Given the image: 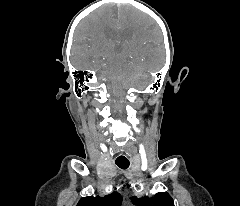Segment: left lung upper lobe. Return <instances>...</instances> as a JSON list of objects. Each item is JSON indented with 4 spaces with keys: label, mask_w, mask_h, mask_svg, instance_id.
<instances>
[{
    "label": "left lung upper lobe",
    "mask_w": 240,
    "mask_h": 206,
    "mask_svg": "<svg viewBox=\"0 0 240 206\" xmlns=\"http://www.w3.org/2000/svg\"><path fill=\"white\" fill-rule=\"evenodd\" d=\"M132 203L137 206H174L173 199L166 192H159L154 197H132Z\"/></svg>",
    "instance_id": "left-lung-upper-lobe-1"
}]
</instances>
